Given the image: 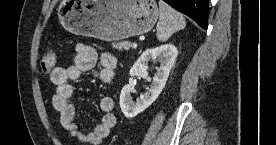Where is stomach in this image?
Returning a JSON list of instances; mask_svg holds the SVG:
<instances>
[{
	"label": "stomach",
	"mask_w": 276,
	"mask_h": 145,
	"mask_svg": "<svg viewBox=\"0 0 276 145\" xmlns=\"http://www.w3.org/2000/svg\"><path fill=\"white\" fill-rule=\"evenodd\" d=\"M58 16L71 33L118 41L150 31L159 10L155 0H63Z\"/></svg>",
	"instance_id": "1"
}]
</instances>
